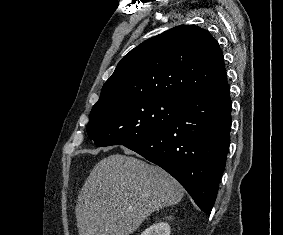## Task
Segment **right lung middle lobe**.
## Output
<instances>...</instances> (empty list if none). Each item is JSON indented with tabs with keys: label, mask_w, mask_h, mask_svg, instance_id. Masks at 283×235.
<instances>
[{
	"label": "right lung middle lobe",
	"mask_w": 283,
	"mask_h": 235,
	"mask_svg": "<svg viewBox=\"0 0 283 235\" xmlns=\"http://www.w3.org/2000/svg\"><path fill=\"white\" fill-rule=\"evenodd\" d=\"M179 102L170 97L139 96L94 106L88 136L98 147L137 141L165 126Z\"/></svg>",
	"instance_id": "dd1d6c3e"
}]
</instances>
